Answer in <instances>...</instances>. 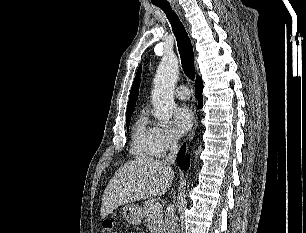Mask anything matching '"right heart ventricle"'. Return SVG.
Listing matches in <instances>:
<instances>
[{
	"mask_svg": "<svg viewBox=\"0 0 306 233\" xmlns=\"http://www.w3.org/2000/svg\"><path fill=\"white\" fill-rule=\"evenodd\" d=\"M153 128L145 113L135 120L130 144V152L134 157L146 159L154 155Z\"/></svg>",
	"mask_w": 306,
	"mask_h": 233,
	"instance_id": "obj_1",
	"label": "right heart ventricle"
}]
</instances>
